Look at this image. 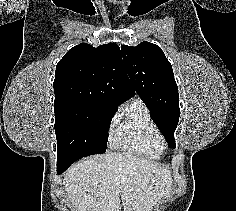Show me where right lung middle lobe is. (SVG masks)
I'll use <instances>...</instances> for the list:
<instances>
[{
    "label": "right lung middle lobe",
    "mask_w": 236,
    "mask_h": 211,
    "mask_svg": "<svg viewBox=\"0 0 236 211\" xmlns=\"http://www.w3.org/2000/svg\"><path fill=\"white\" fill-rule=\"evenodd\" d=\"M54 110L57 155L106 151L108 129L117 107L72 104Z\"/></svg>",
    "instance_id": "right-lung-middle-lobe-1"
}]
</instances>
